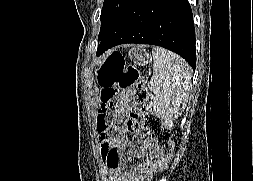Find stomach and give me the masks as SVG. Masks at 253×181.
Here are the masks:
<instances>
[{
  "mask_svg": "<svg viewBox=\"0 0 253 181\" xmlns=\"http://www.w3.org/2000/svg\"><path fill=\"white\" fill-rule=\"evenodd\" d=\"M129 58L138 66H145L149 61V55L144 49L139 47H133L129 51Z\"/></svg>",
  "mask_w": 253,
  "mask_h": 181,
  "instance_id": "obj_1",
  "label": "stomach"
}]
</instances>
